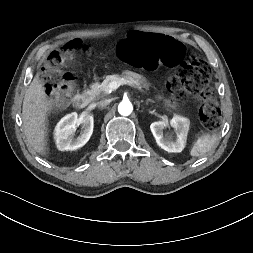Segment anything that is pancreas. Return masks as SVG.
Here are the masks:
<instances>
[{
	"label": "pancreas",
	"instance_id": "pancreas-1",
	"mask_svg": "<svg viewBox=\"0 0 253 253\" xmlns=\"http://www.w3.org/2000/svg\"><path fill=\"white\" fill-rule=\"evenodd\" d=\"M122 79L129 80V81L132 80V82L134 81L135 83H137L139 85L138 80L132 76H119L117 74H113V75L106 76V78L103 80V82L101 84H99V83L95 84L92 87L90 93L94 97H97V98L104 96V95H108L112 92V90L109 87V84L111 82H115V81L118 82Z\"/></svg>",
	"mask_w": 253,
	"mask_h": 253
}]
</instances>
